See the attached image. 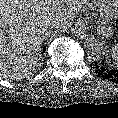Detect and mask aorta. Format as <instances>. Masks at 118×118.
I'll return each mask as SVG.
<instances>
[{
    "label": "aorta",
    "instance_id": "762f6f07",
    "mask_svg": "<svg viewBox=\"0 0 118 118\" xmlns=\"http://www.w3.org/2000/svg\"><path fill=\"white\" fill-rule=\"evenodd\" d=\"M84 49L88 58L92 61H100L105 55L103 44L94 39H89L84 44Z\"/></svg>",
    "mask_w": 118,
    "mask_h": 118
}]
</instances>
